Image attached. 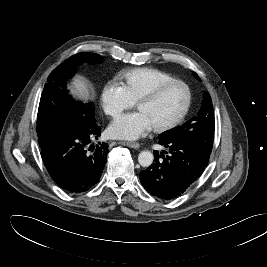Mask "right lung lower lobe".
<instances>
[{"instance_id": "1", "label": "right lung lower lobe", "mask_w": 267, "mask_h": 267, "mask_svg": "<svg viewBox=\"0 0 267 267\" xmlns=\"http://www.w3.org/2000/svg\"><path fill=\"white\" fill-rule=\"evenodd\" d=\"M100 135L94 122L87 128L64 129L40 146L47 171L66 192H85L99 182L109 152L107 143L94 145Z\"/></svg>"}]
</instances>
